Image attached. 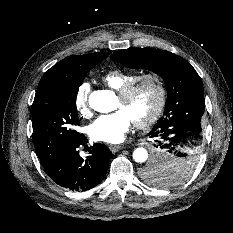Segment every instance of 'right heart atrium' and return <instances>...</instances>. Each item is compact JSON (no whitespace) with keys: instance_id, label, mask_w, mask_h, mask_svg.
<instances>
[{"instance_id":"d8ad5b80","label":"right heart atrium","mask_w":233,"mask_h":233,"mask_svg":"<svg viewBox=\"0 0 233 233\" xmlns=\"http://www.w3.org/2000/svg\"><path fill=\"white\" fill-rule=\"evenodd\" d=\"M91 91V85L83 81L79 84L76 89L74 97V105L77 112L82 117H88L90 115V106H89V95Z\"/></svg>"}]
</instances>
